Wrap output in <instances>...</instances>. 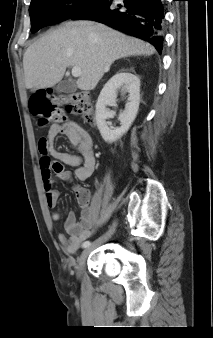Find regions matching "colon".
<instances>
[{
  "mask_svg": "<svg viewBox=\"0 0 213 338\" xmlns=\"http://www.w3.org/2000/svg\"><path fill=\"white\" fill-rule=\"evenodd\" d=\"M29 107L41 125L61 124L65 120L64 109L81 116L88 123L93 121L90 97L82 92L59 95L35 92L30 98Z\"/></svg>",
  "mask_w": 213,
  "mask_h": 338,
  "instance_id": "colon-1",
  "label": "colon"
}]
</instances>
